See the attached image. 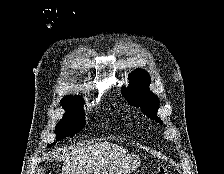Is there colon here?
<instances>
[{"label":"colon","mask_w":224,"mask_h":174,"mask_svg":"<svg viewBox=\"0 0 224 174\" xmlns=\"http://www.w3.org/2000/svg\"><path fill=\"white\" fill-rule=\"evenodd\" d=\"M156 174H169V173H168V171H167L166 168H164V167H160V168L157 170Z\"/></svg>","instance_id":"colon-1"}]
</instances>
